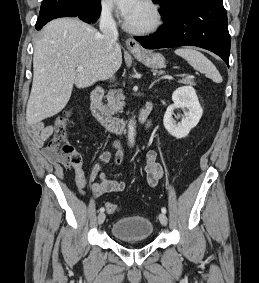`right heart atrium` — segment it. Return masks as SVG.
I'll use <instances>...</instances> for the list:
<instances>
[{
  "label": "right heart atrium",
  "instance_id": "1",
  "mask_svg": "<svg viewBox=\"0 0 259 283\" xmlns=\"http://www.w3.org/2000/svg\"><path fill=\"white\" fill-rule=\"evenodd\" d=\"M113 6L110 0H100L99 1V13L102 17L110 18L113 15Z\"/></svg>",
  "mask_w": 259,
  "mask_h": 283
}]
</instances>
